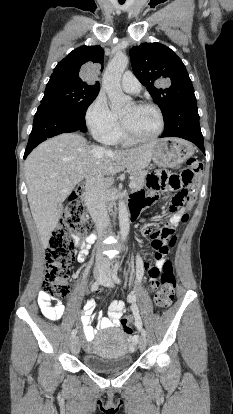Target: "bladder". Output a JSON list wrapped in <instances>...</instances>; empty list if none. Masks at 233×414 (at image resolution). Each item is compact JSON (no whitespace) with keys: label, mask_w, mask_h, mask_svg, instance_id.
<instances>
[{"label":"bladder","mask_w":233,"mask_h":414,"mask_svg":"<svg viewBox=\"0 0 233 414\" xmlns=\"http://www.w3.org/2000/svg\"><path fill=\"white\" fill-rule=\"evenodd\" d=\"M132 363L128 337L118 328L100 332L94 340L92 350L83 356V364L96 372L126 369Z\"/></svg>","instance_id":"1"}]
</instances>
